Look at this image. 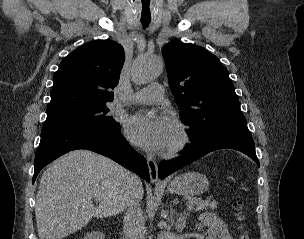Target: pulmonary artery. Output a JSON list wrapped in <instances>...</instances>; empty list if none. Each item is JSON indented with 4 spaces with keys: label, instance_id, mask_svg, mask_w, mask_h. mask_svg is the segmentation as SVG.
Returning <instances> with one entry per match:
<instances>
[{
    "label": "pulmonary artery",
    "instance_id": "1",
    "mask_svg": "<svg viewBox=\"0 0 304 239\" xmlns=\"http://www.w3.org/2000/svg\"><path fill=\"white\" fill-rule=\"evenodd\" d=\"M163 99L164 91L162 85L154 83L135 92L129 99V102L135 104H157L162 102Z\"/></svg>",
    "mask_w": 304,
    "mask_h": 239
}]
</instances>
